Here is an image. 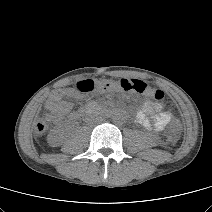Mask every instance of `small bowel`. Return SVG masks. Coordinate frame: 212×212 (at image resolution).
<instances>
[{
    "mask_svg": "<svg viewBox=\"0 0 212 212\" xmlns=\"http://www.w3.org/2000/svg\"><path fill=\"white\" fill-rule=\"evenodd\" d=\"M78 97V93L72 88L58 89L53 91L44 104L47 118L52 122H59L65 116L70 115L72 103L65 97ZM75 117V114H71ZM172 114L163 109L159 102L147 100L142 108L136 113L135 120L138 124L149 130L161 131L171 121Z\"/></svg>",
    "mask_w": 212,
    "mask_h": 212,
    "instance_id": "1",
    "label": "small bowel"
}]
</instances>
